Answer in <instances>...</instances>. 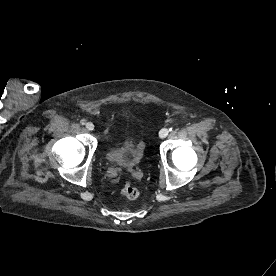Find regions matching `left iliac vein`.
Here are the masks:
<instances>
[{"instance_id":"obj_1","label":"left iliac vein","mask_w":276,"mask_h":276,"mask_svg":"<svg viewBox=\"0 0 276 276\" xmlns=\"http://www.w3.org/2000/svg\"><path fill=\"white\" fill-rule=\"evenodd\" d=\"M169 134V130L167 128H163L159 132V137L160 138H165Z\"/></svg>"}]
</instances>
